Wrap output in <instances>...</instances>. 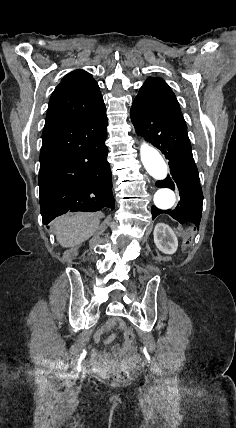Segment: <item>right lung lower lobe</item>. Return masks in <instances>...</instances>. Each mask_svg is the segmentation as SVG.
<instances>
[{"label": "right lung lower lobe", "mask_w": 236, "mask_h": 428, "mask_svg": "<svg viewBox=\"0 0 236 428\" xmlns=\"http://www.w3.org/2000/svg\"><path fill=\"white\" fill-rule=\"evenodd\" d=\"M106 109L89 118L46 127L40 152V207L48 224L67 212L114 209L105 145Z\"/></svg>", "instance_id": "98d812e1"}]
</instances>
